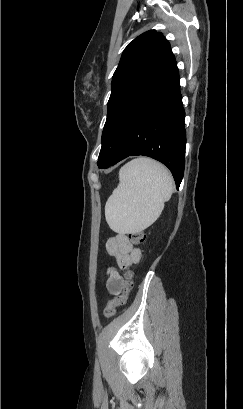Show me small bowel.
<instances>
[{
    "label": "small bowel",
    "mask_w": 243,
    "mask_h": 409,
    "mask_svg": "<svg viewBox=\"0 0 243 409\" xmlns=\"http://www.w3.org/2000/svg\"><path fill=\"white\" fill-rule=\"evenodd\" d=\"M106 250L113 257L118 267L124 269L131 266L140 259V251L129 241L128 237L123 233H118L115 237H111L106 242ZM124 283L120 273L110 268L107 271L106 288L109 293L117 294Z\"/></svg>",
    "instance_id": "1"
}]
</instances>
